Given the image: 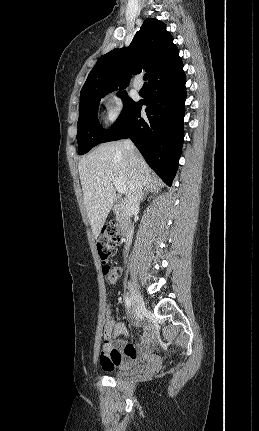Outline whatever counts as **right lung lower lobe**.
Listing matches in <instances>:
<instances>
[{
    "mask_svg": "<svg viewBox=\"0 0 259 431\" xmlns=\"http://www.w3.org/2000/svg\"><path fill=\"white\" fill-rule=\"evenodd\" d=\"M186 76L183 64L149 82L148 96L139 101L104 142L131 138L148 165L171 185L181 155ZM146 105L147 118L140 115Z\"/></svg>",
    "mask_w": 259,
    "mask_h": 431,
    "instance_id": "right-lung-lower-lobe-1",
    "label": "right lung lower lobe"
}]
</instances>
